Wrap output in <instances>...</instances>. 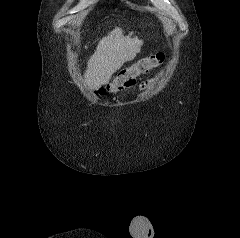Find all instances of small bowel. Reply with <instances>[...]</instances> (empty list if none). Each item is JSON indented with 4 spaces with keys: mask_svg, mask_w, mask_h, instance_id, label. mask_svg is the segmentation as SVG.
<instances>
[{
    "mask_svg": "<svg viewBox=\"0 0 240 238\" xmlns=\"http://www.w3.org/2000/svg\"><path fill=\"white\" fill-rule=\"evenodd\" d=\"M151 85H152V79L145 80L144 82H142L140 89L141 90L148 89Z\"/></svg>",
    "mask_w": 240,
    "mask_h": 238,
    "instance_id": "c3829d8e",
    "label": "small bowel"
}]
</instances>
